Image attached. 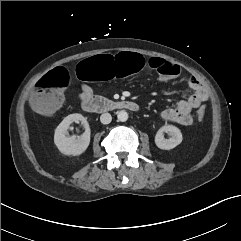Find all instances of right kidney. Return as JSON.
<instances>
[{
  "mask_svg": "<svg viewBox=\"0 0 241 241\" xmlns=\"http://www.w3.org/2000/svg\"><path fill=\"white\" fill-rule=\"evenodd\" d=\"M73 122H81L85 127V132L78 138L75 136H67L69 126ZM54 143L58 150L64 155H81L86 151L90 143V128L87 119L77 113L65 117L55 130Z\"/></svg>",
  "mask_w": 241,
  "mask_h": 241,
  "instance_id": "right-kidney-1",
  "label": "right kidney"
}]
</instances>
